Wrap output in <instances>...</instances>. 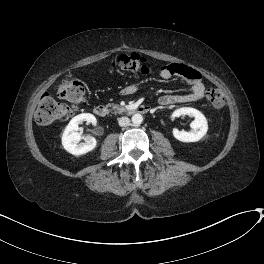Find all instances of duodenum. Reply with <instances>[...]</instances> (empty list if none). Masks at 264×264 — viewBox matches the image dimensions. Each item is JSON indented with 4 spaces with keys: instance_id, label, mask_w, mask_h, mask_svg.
<instances>
[{
    "instance_id": "duodenum-1",
    "label": "duodenum",
    "mask_w": 264,
    "mask_h": 264,
    "mask_svg": "<svg viewBox=\"0 0 264 264\" xmlns=\"http://www.w3.org/2000/svg\"><path fill=\"white\" fill-rule=\"evenodd\" d=\"M151 110L150 106L140 105L126 109V113L129 115H145ZM95 114L99 117H105L107 115V108L104 104H97L94 108Z\"/></svg>"
}]
</instances>
